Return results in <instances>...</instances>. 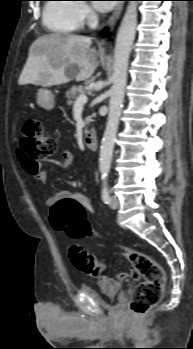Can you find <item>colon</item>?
<instances>
[{
	"label": "colon",
	"mask_w": 193,
	"mask_h": 349,
	"mask_svg": "<svg viewBox=\"0 0 193 349\" xmlns=\"http://www.w3.org/2000/svg\"><path fill=\"white\" fill-rule=\"evenodd\" d=\"M56 151V138L47 132L38 120H27L20 142V152L27 161V167L31 170L36 169ZM50 222L54 229L63 231L72 238H79L90 232L85 219V209L73 200L53 204ZM114 249L117 254L129 260L138 275L142 277L130 301V310L136 316L144 315L162 297L166 279L164 269L146 253L122 245H114ZM69 256L74 266L87 275L99 276L104 268L100 259L77 243L70 246Z\"/></svg>",
	"instance_id": "5ec220e1"
}]
</instances>
